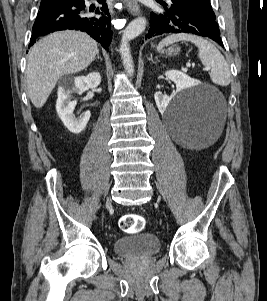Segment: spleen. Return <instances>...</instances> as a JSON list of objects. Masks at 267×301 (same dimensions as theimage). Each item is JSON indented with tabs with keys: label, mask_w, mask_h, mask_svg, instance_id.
I'll list each match as a JSON object with an SVG mask.
<instances>
[{
	"label": "spleen",
	"mask_w": 267,
	"mask_h": 301,
	"mask_svg": "<svg viewBox=\"0 0 267 301\" xmlns=\"http://www.w3.org/2000/svg\"><path fill=\"white\" fill-rule=\"evenodd\" d=\"M178 41H189L198 47V57L202 64L211 69L210 78L213 83L227 86L231 81L229 65L220 51L208 40L191 34L179 33L164 38L157 49Z\"/></svg>",
	"instance_id": "1"
}]
</instances>
